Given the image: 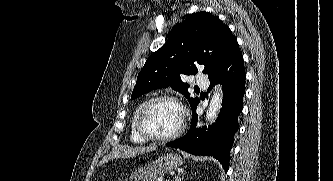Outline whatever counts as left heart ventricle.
Returning <instances> with one entry per match:
<instances>
[{
    "label": "left heart ventricle",
    "mask_w": 333,
    "mask_h": 181,
    "mask_svg": "<svg viewBox=\"0 0 333 181\" xmlns=\"http://www.w3.org/2000/svg\"><path fill=\"white\" fill-rule=\"evenodd\" d=\"M181 123V110L173 102L158 101L144 116V124L152 134L162 136L174 132Z\"/></svg>",
    "instance_id": "obj_1"
}]
</instances>
